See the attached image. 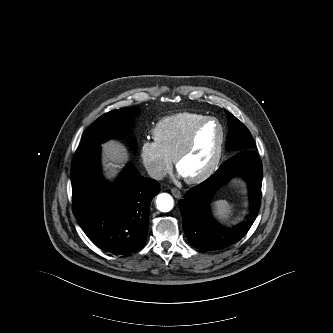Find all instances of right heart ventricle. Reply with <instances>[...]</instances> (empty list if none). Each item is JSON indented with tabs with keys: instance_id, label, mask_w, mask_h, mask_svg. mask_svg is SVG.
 Instances as JSON below:
<instances>
[{
	"instance_id": "e07e8e85",
	"label": "right heart ventricle",
	"mask_w": 333,
	"mask_h": 333,
	"mask_svg": "<svg viewBox=\"0 0 333 333\" xmlns=\"http://www.w3.org/2000/svg\"><path fill=\"white\" fill-rule=\"evenodd\" d=\"M205 118H207L206 115L193 112L164 117L152 130L154 142L172 160L192 129Z\"/></svg>"
}]
</instances>
